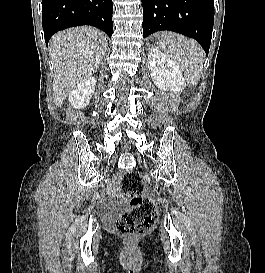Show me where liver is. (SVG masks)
Listing matches in <instances>:
<instances>
[{
	"mask_svg": "<svg viewBox=\"0 0 265 273\" xmlns=\"http://www.w3.org/2000/svg\"><path fill=\"white\" fill-rule=\"evenodd\" d=\"M108 46L106 35L89 26L69 28L49 42L54 64L53 98L61 106L70 91L96 73Z\"/></svg>",
	"mask_w": 265,
	"mask_h": 273,
	"instance_id": "liver-1",
	"label": "liver"
}]
</instances>
